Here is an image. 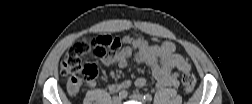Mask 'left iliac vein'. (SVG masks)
<instances>
[{"instance_id":"left-iliac-vein-1","label":"left iliac vein","mask_w":252,"mask_h":104,"mask_svg":"<svg viewBox=\"0 0 252 104\" xmlns=\"http://www.w3.org/2000/svg\"><path fill=\"white\" fill-rule=\"evenodd\" d=\"M130 98L133 99V100H136V101H138V102H141V103H145V101H146V100L144 99L143 95L138 94V93L132 94V95L130 96Z\"/></svg>"}]
</instances>
